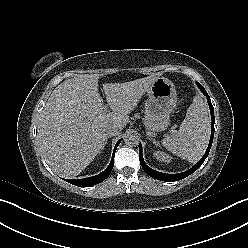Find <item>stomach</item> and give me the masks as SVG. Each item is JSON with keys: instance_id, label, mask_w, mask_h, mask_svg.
<instances>
[{"instance_id": "obj_1", "label": "stomach", "mask_w": 248, "mask_h": 248, "mask_svg": "<svg viewBox=\"0 0 248 248\" xmlns=\"http://www.w3.org/2000/svg\"><path fill=\"white\" fill-rule=\"evenodd\" d=\"M144 126L148 132L162 131L168 125L169 114L176 107L177 94L174 84L165 77H157L145 91Z\"/></svg>"}]
</instances>
